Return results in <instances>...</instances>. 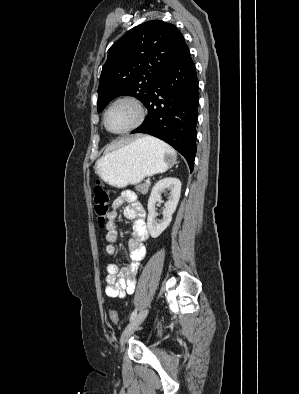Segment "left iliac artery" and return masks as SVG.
<instances>
[{"label":"left iliac artery","mask_w":299,"mask_h":394,"mask_svg":"<svg viewBox=\"0 0 299 394\" xmlns=\"http://www.w3.org/2000/svg\"><path fill=\"white\" fill-rule=\"evenodd\" d=\"M136 315H137V309H135V310L132 312V314H131V316H130V321L133 320V319L136 317Z\"/></svg>","instance_id":"left-iliac-artery-1"}]
</instances>
